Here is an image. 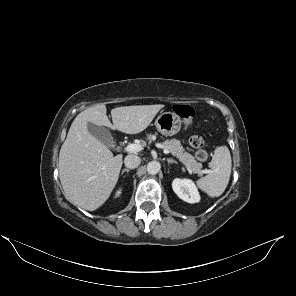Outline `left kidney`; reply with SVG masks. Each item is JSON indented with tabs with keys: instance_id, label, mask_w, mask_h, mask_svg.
Instances as JSON below:
<instances>
[{
	"instance_id": "obj_1",
	"label": "left kidney",
	"mask_w": 296,
	"mask_h": 296,
	"mask_svg": "<svg viewBox=\"0 0 296 296\" xmlns=\"http://www.w3.org/2000/svg\"><path fill=\"white\" fill-rule=\"evenodd\" d=\"M173 191L185 202L197 203L200 195L194 182L190 179H174L172 182Z\"/></svg>"
}]
</instances>
